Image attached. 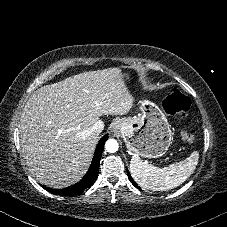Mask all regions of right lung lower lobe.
I'll list each match as a JSON object with an SVG mask.
<instances>
[{
  "instance_id": "right-lung-lower-lobe-1",
  "label": "right lung lower lobe",
  "mask_w": 227,
  "mask_h": 227,
  "mask_svg": "<svg viewBox=\"0 0 227 227\" xmlns=\"http://www.w3.org/2000/svg\"><path fill=\"white\" fill-rule=\"evenodd\" d=\"M107 139H108V135L106 134L99 141L95 150V154H94L91 166L81 181L64 189H52L44 185H42V187L52 194L64 195V196L78 195V194H81L84 191V189L90 188L97 178L104 143L106 142Z\"/></svg>"
}]
</instances>
